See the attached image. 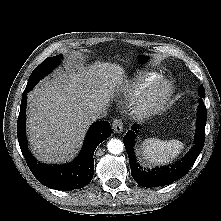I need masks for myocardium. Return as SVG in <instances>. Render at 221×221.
Listing matches in <instances>:
<instances>
[{"mask_svg":"<svg viewBox=\"0 0 221 221\" xmlns=\"http://www.w3.org/2000/svg\"><path fill=\"white\" fill-rule=\"evenodd\" d=\"M175 91L174 82L160 77L152 82L142 93L136 111L141 117H149L161 111L170 101Z\"/></svg>","mask_w":221,"mask_h":221,"instance_id":"f54148a6","label":"myocardium"}]
</instances>
